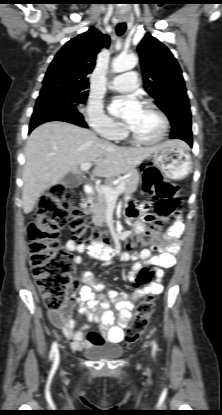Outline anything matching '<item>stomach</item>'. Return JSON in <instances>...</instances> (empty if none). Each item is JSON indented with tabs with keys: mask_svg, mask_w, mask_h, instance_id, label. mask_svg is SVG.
Instances as JSON below:
<instances>
[{
	"mask_svg": "<svg viewBox=\"0 0 222 415\" xmlns=\"http://www.w3.org/2000/svg\"><path fill=\"white\" fill-rule=\"evenodd\" d=\"M150 159L172 180L185 178L192 170V160L188 146L178 140L166 141L159 145Z\"/></svg>",
	"mask_w": 222,
	"mask_h": 415,
	"instance_id": "0dacf381",
	"label": "stomach"
}]
</instances>
